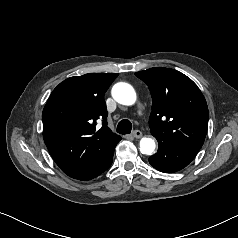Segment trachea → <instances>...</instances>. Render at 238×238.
I'll list each match as a JSON object with an SVG mask.
<instances>
[{
  "label": "trachea",
  "mask_w": 238,
  "mask_h": 238,
  "mask_svg": "<svg viewBox=\"0 0 238 238\" xmlns=\"http://www.w3.org/2000/svg\"><path fill=\"white\" fill-rule=\"evenodd\" d=\"M132 129V124L129 120L123 119L117 125V132L120 134H129Z\"/></svg>",
  "instance_id": "3493384b"
}]
</instances>
